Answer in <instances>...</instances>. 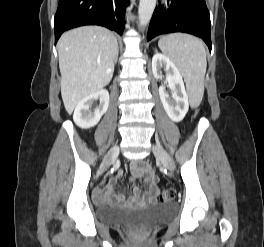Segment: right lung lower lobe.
<instances>
[{
  "label": "right lung lower lobe",
  "mask_w": 264,
  "mask_h": 247,
  "mask_svg": "<svg viewBox=\"0 0 264 247\" xmlns=\"http://www.w3.org/2000/svg\"><path fill=\"white\" fill-rule=\"evenodd\" d=\"M128 0H59L54 19L55 43L61 34L83 25H100L122 35Z\"/></svg>",
  "instance_id": "right-lung-lower-lobe-1"
}]
</instances>
